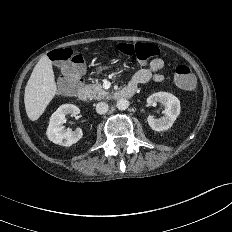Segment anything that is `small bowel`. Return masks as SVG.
Masks as SVG:
<instances>
[{
    "label": "small bowel",
    "instance_id": "obj_1",
    "mask_svg": "<svg viewBox=\"0 0 232 232\" xmlns=\"http://www.w3.org/2000/svg\"><path fill=\"white\" fill-rule=\"evenodd\" d=\"M163 67L164 61L161 58L153 59L148 68H142L133 75L128 86L136 89L140 84H145L151 80L162 82L165 78L162 73Z\"/></svg>",
    "mask_w": 232,
    "mask_h": 232
}]
</instances>
